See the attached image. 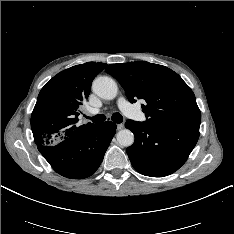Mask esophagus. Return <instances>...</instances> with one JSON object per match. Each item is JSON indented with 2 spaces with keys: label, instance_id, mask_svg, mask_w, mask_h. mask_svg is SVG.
<instances>
[{
  "label": "esophagus",
  "instance_id": "obj_1",
  "mask_svg": "<svg viewBox=\"0 0 234 234\" xmlns=\"http://www.w3.org/2000/svg\"><path fill=\"white\" fill-rule=\"evenodd\" d=\"M124 128V124H117V129L118 130H122Z\"/></svg>",
  "mask_w": 234,
  "mask_h": 234
}]
</instances>
